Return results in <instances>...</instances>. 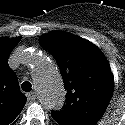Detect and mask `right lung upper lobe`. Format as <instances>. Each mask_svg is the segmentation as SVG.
Returning a JSON list of instances; mask_svg holds the SVG:
<instances>
[{
  "label": "right lung upper lobe",
  "instance_id": "cb5924a9",
  "mask_svg": "<svg viewBox=\"0 0 125 125\" xmlns=\"http://www.w3.org/2000/svg\"><path fill=\"white\" fill-rule=\"evenodd\" d=\"M20 40V37L0 38V125H14L27 100L8 65L9 55Z\"/></svg>",
  "mask_w": 125,
  "mask_h": 125
}]
</instances>
